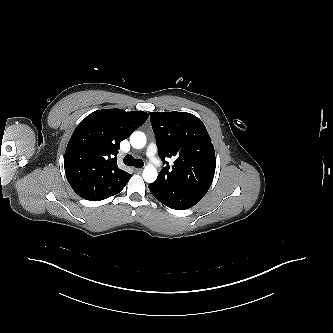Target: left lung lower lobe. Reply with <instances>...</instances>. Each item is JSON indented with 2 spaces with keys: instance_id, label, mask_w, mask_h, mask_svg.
I'll return each mask as SVG.
<instances>
[{
  "instance_id": "1",
  "label": "left lung lower lobe",
  "mask_w": 333,
  "mask_h": 333,
  "mask_svg": "<svg viewBox=\"0 0 333 333\" xmlns=\"http://www.w3.org/2000/svg\"><path fill=\"white\" fill-rule=\"evenodd\" d=\"M148 188L157 200L176 210L193 207L206 194L198 190L176 187L158 178L154 183L149 184Z\"/></svg>"
}]
</instances>
